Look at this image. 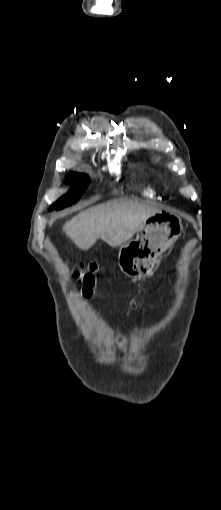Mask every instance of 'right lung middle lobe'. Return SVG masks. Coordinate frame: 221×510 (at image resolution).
I'll return each instance as SVG.
<instances>
[{"mask_svg": "<svg viewBox=\"0 0 221 510\" xmlns=\"http://www.w3.org/2000/svg\"><path fill=\"white\" fill-rule=\"evenodd\" d=\"M69 179L75 183V187L67 195L60 198L55 204V209H62L75 203L89 184V178L85 175L70 174Z\"/></svg>", "mask_w": 221, "mask_h": 510, "instance_id": "right-lung-middle-lobe-1", "label": "right lung middle lobe"}]
</instances>
